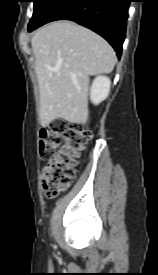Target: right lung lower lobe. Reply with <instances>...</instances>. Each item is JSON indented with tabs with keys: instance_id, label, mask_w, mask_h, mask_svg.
<instances>
[{
	"instance_id": "right-lung-lower-lobe-1",
	"label": "right lung lower lobe",
	"mask_w": 158,
	"mask_h": 275,
	"mask_svg": "<svg viewBox=\"0 0 158 275\" xmlns=\"http://www.w3.org/2000/svg\"><path fill=\"white\" fill-rule=\"evenodd\" d=\"M129 2L130 0H56L28 30L31 32L55 20H71L105 38L120 58Z\"/></svg>"
}]
</instances>
